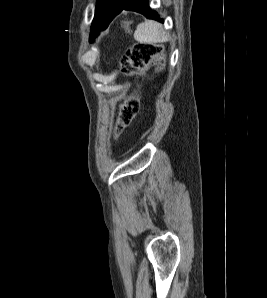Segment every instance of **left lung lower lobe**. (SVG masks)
<instances>
[{"label": "left lung lower lobe", "instance_id": "1", "mask_svg": "<svg viewBox=\"0 0 267 298\" xmlns=\"http://www.w3.org/2000/svg\"><path fill=\"white\" fill-rule=\"evenodd\" d=\"M122 10L136 11L149 19L161 21L157 13L150 9L148 0H121L95 14L90 32L91 39L96 37L101 30L106 29L113 18Z\"/></svg>", "mask_w": 267, "mask_h": 298}]
</instances>
